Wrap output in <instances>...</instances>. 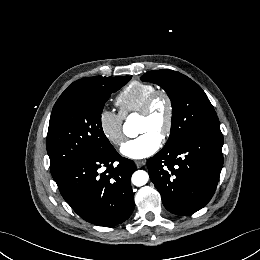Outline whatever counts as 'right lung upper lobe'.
<instances>
[{
  "mask_svg": "<svg viewBox=\"0 0 260 260\" xmlns=\"http://www.w3.org/2000/svg\"><path fill=\"white\" fill-rule=\"evenodd\" d=\"M108 77H87L73 82L59 97L55 105L69 102L77 97L87 95L95 85Z\"/></svg>",
  "mask_w": 260,
  "mask_h": 260,
  "instance_id": "right-lung-upper-lobe-1",
  "label": "right lung upper lobe"
}]
</instances>
